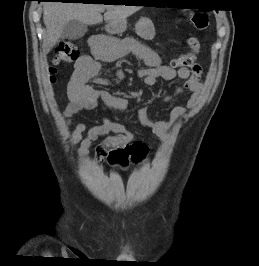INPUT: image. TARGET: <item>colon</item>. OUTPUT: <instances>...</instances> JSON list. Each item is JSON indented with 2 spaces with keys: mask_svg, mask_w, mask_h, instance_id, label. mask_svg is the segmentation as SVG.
<instances>
[{
  "mask_svg": "<svg viewBox=\"0 0 259 266\" xmlns=\"http://www.w3.org/2000/svg\"><path fill=\"white\" fill-rule=\"evenodd\" d=\"M190 20L194 27L198 30H205L208 28V16L202 12L190 14ZM189 52L180 55L172 60L171 65L174 68H189L195 65L197 55L200 50V44L195 37H190L187 40ZM80 50L78 46L71 40H61L56 47L54 55V65L72 63L79 59ZM56 68H51V73H55ZM148 149L146 145L141 142H134L122 149L113 151L109 156V162L112 164H119L126 166L130 162L138 164L141 163L147 155Z\"/></svg>",
  "mask_w": 259,
  "mask_h": 266,
  "instance_id": "obj_1",
  "label": "colon"
}]
</instances>
